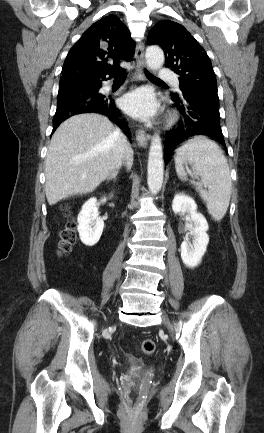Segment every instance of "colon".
<instances>
[{
	"instance_id": "1",
	"label": "colon",
	"mask_w": 264,
	"mask_h": 433,
	"mask_svg": "<svg viewBox=\"0 0 264 433\" xmlns=\"http://www.w3.org/2000/svg\"><path fill=\"white\" fill-rule=\"evenodd\" d=\"M65 215L69 218L68 209L65 207ZM76 242V224L72 219H68L65 226L59 232L58 250L60 253H66L71 250ZM140 349L144 354L154 353L156 344L152 339H144L140 343Z\"/></svg>"
}]
</instances>
